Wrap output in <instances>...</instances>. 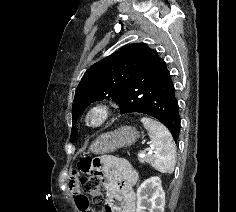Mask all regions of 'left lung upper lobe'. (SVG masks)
I'll return each mask as SVG.
<instances>
[{
  "label": "left lung upper lobe",
  "mask_w": 236,
  "mask_h": 212,
  "mask_svg": "<svg viewBox=\"0 0 236 212\" xmlns=\"http://www.w3.org/2000/svg\"><path fill=\"white\" fill-rule=\"evenodd\" d=\"M147 50L145 43L125 45L92 65L76 89L72 106L73 122L94 101L112 99L117 103L135 76ZM77 135V128L72 127L70 141Z\"/></svg>",
  "instance_id": "left-lung-upper-lobe-1"
}]
</instances>
